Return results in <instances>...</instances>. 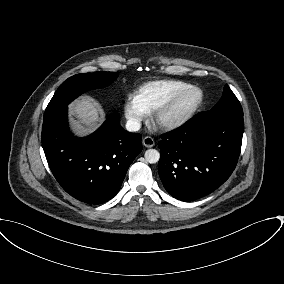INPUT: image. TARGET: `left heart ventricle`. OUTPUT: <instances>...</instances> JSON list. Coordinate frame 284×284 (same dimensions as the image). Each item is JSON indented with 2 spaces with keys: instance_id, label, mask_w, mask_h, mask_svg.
<instances>
[{
  "instance_id": "left-heart-ventricle-1",
  "label": "left heart ventricle",
  "mask_w": 284,
  "mask_h": 284,
  "mask_svg": "<svg viewBox=\"0 0 284 284\" xmlns=\"http://www.w3.org/2000/svg\"><path fill=\"white\" fill-rule=\"evenodd\" d=\"M198 99V93L196 92H191L189 93L179 104L177 107V111H184L188 108H190L195 101Z\"/></svg>"
}]
</instances>
